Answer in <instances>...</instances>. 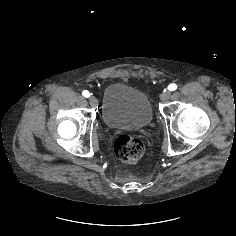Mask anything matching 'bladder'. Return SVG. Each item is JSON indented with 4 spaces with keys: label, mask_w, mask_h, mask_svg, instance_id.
Segmentation results:
<instances>
[{
    "label": "bladder",
    "mask_w": 236,
    "mask_h": 236,
    "mask_svg": "<svg viewBox=\"0 0 236 236\" xmlns=\"http://www.w3.org/2000/svg\"><path fill=\"white\" fill-rule=\"evenodd\" d=\"M101 114L108 128L139 129L150 124L153 109L143 91L124 83H112L103 92Z\"/></svg>",
    "instance_id": "31cf9c89"
}]
</instances>
